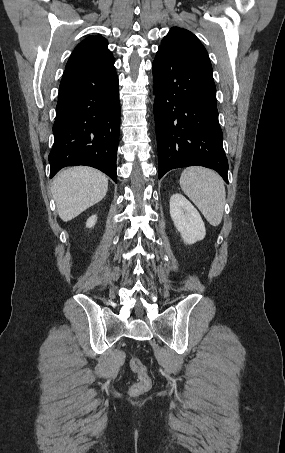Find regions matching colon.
<instances>
[{"instance_id": "obj_1", "label": "colon", "mask_w": 285, "mask_h": 453, "mask_svg": "<svg viewBox=\"0 0 285 453\" xmlns=\"http://www.w3.org/2000/svg\"><path fill=\"white\" fill-rule=\"evenodd\" d=\"M130 367L136 373L138 380L131 386L130 393L133 396H138L149 390L151 379L149 377L146 366L137 357H132Z\"/></svg>"}]
</instances>
